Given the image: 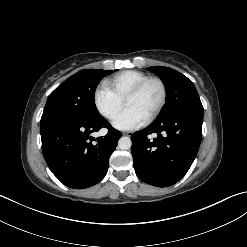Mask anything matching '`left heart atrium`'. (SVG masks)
I'll list each match as a JSON object with an SVG mask.
<instances>
[{
  "label": "left heart atrium",
  "mask_w": 247,
  "mask_h": 247,
  "mask_svg": "<svg viewBox=\"0 0 247 247\" xmlns=\"http://www.w3.org/2000/svg\"><path fill=\"white\" fill-rule=\"evenodd\" d=\"M148 117L132 106H126L115 118L113 125L121 130H133L147 122Z\"/></svg>",
  "instance_id": "39dd6f15"
}]
</instances>
